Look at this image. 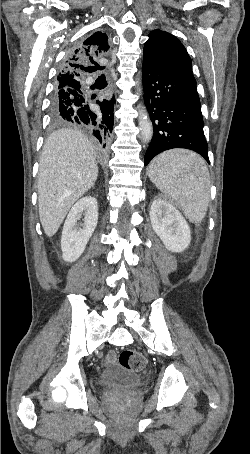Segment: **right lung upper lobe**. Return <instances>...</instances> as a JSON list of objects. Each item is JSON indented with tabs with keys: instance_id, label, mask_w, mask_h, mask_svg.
<instances>
[{
	"instance_id": "cb5924a9",
	"label": "right lung upper lobe",
	"mask_w": 250,
	"mask_h": 454,
	"mask_svg": "<svg viewBox=\"0 0 250 454\" xmlns=\"http://www.w3.org/2000/svg\"><path fill=\"white\" fill-rule=\"evenodd\" d=\"M108 37L105 33L96 32L73 50L63 63L57 77V86L69 84L80 85L85 72L101 69L97 61L105 59L109 52Z\"/></svg>"
}]
</instances>
